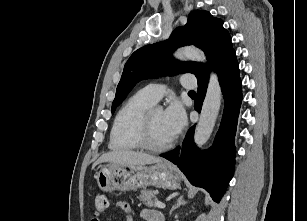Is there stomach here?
<instances>
[{"label":"stomach","mask_w":307,"mask_h":221,"mask_svg":"<svg viewBox=\"0 0 307 221\" xmlns=\"http://www.w3.org/2000/svg\"><path fill=\"white\" fill-rule=\"evenodd\" d=\"M95 178L103 191H128L139 187L146 188L149 185L176 189L180 181L179 174L167 161L152 166L109 163L101 166Z\"/></svg>","instance_id":"0dacf381"}]
</instances>
